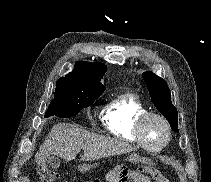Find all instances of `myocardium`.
<instances>
[{"instance_id":"f54148a6","label":"myocardium","mask_w":211,"mask_h":182,"mask_svg":"<svg viewBox=\"0 0 211 182\" xmlns=\"http://www.w3.org/2000/svg\"><path fill=\"white\" fill-rule=\"evenodd\" d=\"M150 118H156V119L160 120L163 123V125L166 129V139L164 140L163 143H161L158 146L148 145L146 143L144 135H143V127H144L146 121ZM134 133H135V137H136L138 143L143 148L150 150V151L162 150L163 148H165L169 144V142L172 138V130H171V126H170L168 120L163 115H161L159 113L149 112V111H147V112H145V113H143L139 116V118L136 121Z\"/></svg>"}]
</instances>
